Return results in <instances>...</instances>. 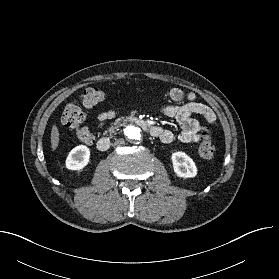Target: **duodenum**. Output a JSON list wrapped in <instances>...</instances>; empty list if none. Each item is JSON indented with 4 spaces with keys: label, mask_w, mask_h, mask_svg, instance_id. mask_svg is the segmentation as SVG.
<instances>
[{
    "label": "duodenum",
    "mask_w": 279,
    "mask_h": 279,
    "mask_svg": "<svg viewBox=\"0 0 279 279\" xmlns=\"http://www.w3.org/2000/svg\"><path fill=\"white\" fill-rule=\"evenodd\" d=\"M128 123H134L137 124L138 126H140L145 132H147L148 134L152 135V136H156L159 132L158 128L156 126H153L149 121L136 117V116H126L123 117L120 121H119V125H125ZM110 139L108 137H102L98 140L97 142V149L99 151H106L109 149L110 147Z\"/></svg>",
    "instance_id": "1"
}]
</instances>
